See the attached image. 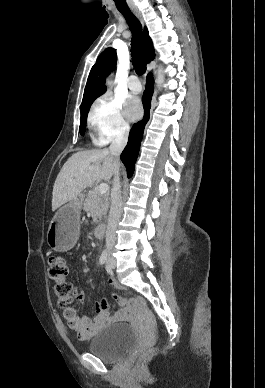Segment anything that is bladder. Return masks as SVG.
Wrapping results in <instances>:
<instances>
[{
	"label": "bladder",
	"instance_id": "obj_1",
	"mask_svg": "<svg viewBox=\"0 0 265 388\" xmlns=\"http://www.w3.org/2000/svg\"><path fill=\"white\" fill-rule=\"evenodd\" d=\"M137 333L126 323L108 326L92 339L88 350L105 359H115L135 344Z\"/></svg>",
	"mask_w": 265,
	"mask_h": 388
}]
</instances>
